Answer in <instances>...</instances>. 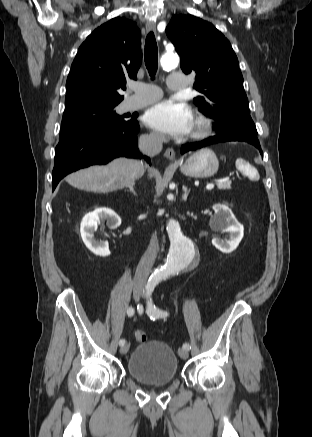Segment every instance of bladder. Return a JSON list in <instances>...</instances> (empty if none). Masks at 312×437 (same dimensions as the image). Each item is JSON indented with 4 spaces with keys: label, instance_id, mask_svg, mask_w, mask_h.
Segmentation results:
<instances>
[{
    "label": "bladder",
    "instance_id": "bladder-1",
    "mask_svg": "<svg viewBox=\"0 0 312 437\" xmlns=\"http://www.w3.org/2000/svg\"><path fill=\"white\" fill-rule=\"evenodd\" d=\"M127 372L140 383L166 385L178 375L177 357L174 350L163 341H144L129 356Z\"/></svg>",
    "mask_w": 312,
    "mask_h": 437
}]
</instances>
